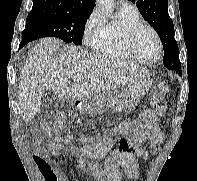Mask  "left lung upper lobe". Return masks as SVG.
I'll return each mask as SVG.
<instances>
[{"label":"left lung upper lobe","instance_id":"5c2ea615","mask_svg":"<svg viewBox=\"0 0 197 181\" xmlns=\"http://www.w3.org/2000/svg\"><path fill=\"white\" fill-rule=\"evenodd\" d=\"M136 3L140 13L156 30L163 44V64L180 71L179 48L174 39V25L168 14V0H129Z\"/></svg>","mask_w":197,"mask_h":181}]
</instances>
